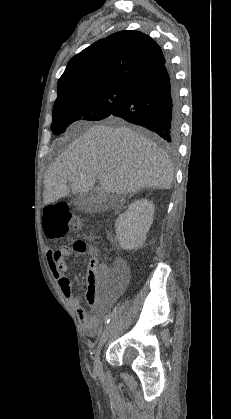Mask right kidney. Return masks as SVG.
Segmentation results:
<instances>
[{"mask_svg": "<svg viewBox=\"0 0 231 419\" xmlns=\"http://www.w3.org/2000/svg\"><path fill=\"white\" fill-rule=\"evenodd\" d=\"M155 209L152 201L140 199L132 202L127 211L115 221L116 238L122 249L141 246L153 223Z\"/></svg>", "mask_w": 231, "mask_h": 419, "instance_id": "ca27d5eb", "label": "right kidney"}]
</instances>
